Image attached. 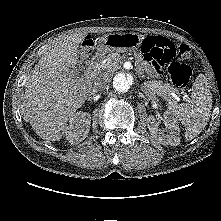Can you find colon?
I'll return each mask as SVG.
<instances>
[{"label":"colon","instance_id":"obj_1","mask_svg":"<svg viewBox=\"0 0 221 221\" xmlns=\"http://www.w3.org/2000/svg\"><path fill=\"white\" fill-rule=\"evenodd\" d=\"M93 47V39L90 36L86 37L80 50L81 64L89 60ZM141 50L146 60L158 70L164 66L168 67L170 79L175 86L184 87L188 84L192 74L191 68L186 64L192 58L188 45H175L169 39L147 37L142 43Z\"/></svg>","mask_w":221,"mask_h":221}]
</instances>
